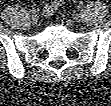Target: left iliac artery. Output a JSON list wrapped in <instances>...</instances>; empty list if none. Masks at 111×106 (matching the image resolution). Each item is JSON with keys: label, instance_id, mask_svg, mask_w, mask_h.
<instances>
[{"label": "left iliac artery", "instance_id": "1", "mask_svg": "<svg viewBox=\"0 0 111 106\" xmlns=\"http://www.w3.org/2000/svg\"><path fill=\"white\" fill-rule=\"evenodd\" d=\"M77 9H81V6H80V5H78V6H77Z\"/></svg>", "mask_w": 111, "mask_h": 106}]
</instances>
